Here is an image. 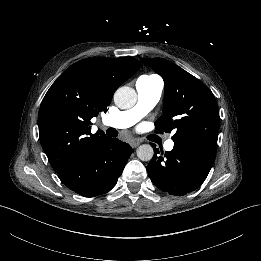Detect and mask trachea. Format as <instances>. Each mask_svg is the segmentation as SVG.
I'll use <instances>...</instances> for the list:
<instances>
[{
  "instance_id": "3493384b",
  "label": "trachea",
  "mask_w": 261,
  "mask_h": 261,
  "mask_svg": "<svg viewBox=\"0 0 261 261\" xmlns=\"http://www.w3.org/2000/svg\"><path fill=\"white\" fill-rule=\"evenodd\" d=\"M106 134L110 137H117L118 131L114 128H108Z\"/></svg>"
}]
</instances>
